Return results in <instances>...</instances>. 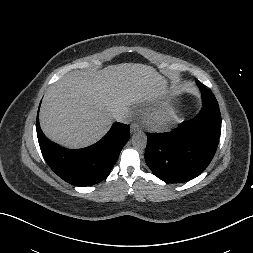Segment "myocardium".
<instances>
[{"mask_svg": "<svg viewBox=\"0 0 253 253\" xmlns=\"http://www.w3.org/2000/svg\"><path fill=\"white\" fill-rule=\"evenodd\" d=\"M175 118V112L171 108H162L155 111L150 120L149 126L155 130H165L171 126Z\"/></svg>", "mask_w": 253, "mask_h": 253, "instance_id": "obj_1", "label": "myocardium"}]
</instances>
